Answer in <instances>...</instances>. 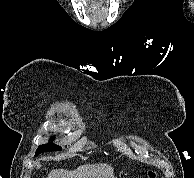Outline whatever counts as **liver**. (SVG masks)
Instances as JSON below:
<instances>
[{"label":"liver","instance_id":"1","mask_svg":"<svg viewBox=\"0 0 194 178\" xmlns=\"http://www.w3.org/2000/svg\"><path fill=\"white\" fill-rule=\"evenodd\" d=\"M47 178H115L113 168L107 164L79 166L76 170H52Z\"/></svg>","mask_w":194,"mask_h":178}]
</instances>
